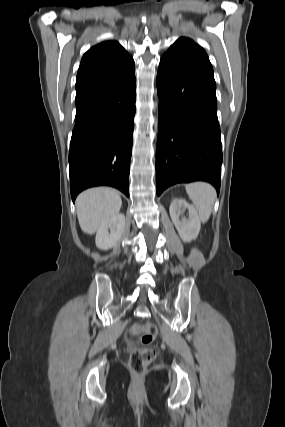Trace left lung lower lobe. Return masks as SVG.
<instances>
[{"instance_id": "1", "label": "left lung lower lobe", "mask_w": 285, "mask_h": 427, "mask_svg": "<svg viewBox=\"0 0 285 427\" xmlns=\"http://www.w3.org/2000/svg\"><path fill=\"white\" fill-rule=\"evenodd\" d=\"M156 188L203 180L219 193L222 164L216 84L162 57L157 74Z\"/></svg>"}]
</instances>
